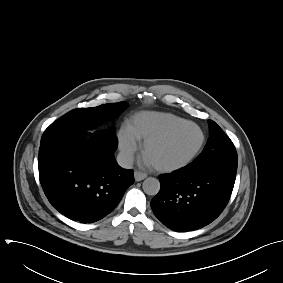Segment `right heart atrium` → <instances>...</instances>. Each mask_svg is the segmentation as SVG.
<instances>
[{
  "label": "right heart atrium",
  "mask_w": 283,
  "mask_h": 283,
  "mask_svg": "<svg viewBox=\"0 0 283 283\" xmlns=\"http://www.w3.org/2000/svg\"><path fill=\"white\" fill-rule=\"evenodd\" d=\"M118 147L121 152V155L125 160H131L134 156L137 145L134 139L125 131V129H121L118 132Z\"/></svg>",
  "instance_id": "obj_1"
}]
</instances>
